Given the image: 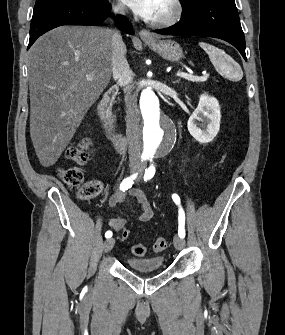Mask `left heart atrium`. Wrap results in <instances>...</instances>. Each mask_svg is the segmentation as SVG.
<instances>
[{
	"label": "left heart atrium",
	"mask_w": 285,
	"mask_h": 335,
	"mask_svg": "<svg viewBox=\"0 0 285 335\" xmlns=\"http://www.w3.org/2000/svg\"><path fill=\"white\" fill-rule=\"evenodd\" d=\"M133 12L145 22L156 20L158 11L157 1H124Z\"/></svg>",
	"instance_id": "left-heart-atrium-1"
}]
</instances>
